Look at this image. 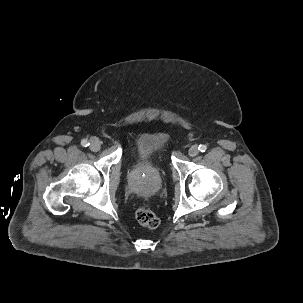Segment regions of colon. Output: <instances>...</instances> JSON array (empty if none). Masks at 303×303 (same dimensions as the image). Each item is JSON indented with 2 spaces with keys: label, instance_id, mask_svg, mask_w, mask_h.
<instances>
[{
  "label": "colon",
  "instance_id": "colon-1",
  "mask_svg": "<svg viewBox=\"0 0 303 303\" xmlns=\"http://www.w3.org/2000/svg\"><path fill=\"white\" fill-rule=\"evenodd\" d=\"M137 222L147 228H156L160 221L157 215L149 208L142 207L136 211Z\"/></svg>",
  "mask_w": 303,
  "mask_h": 303
}]
</instances>
